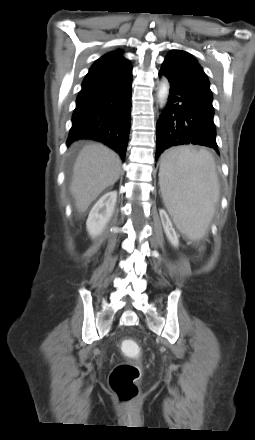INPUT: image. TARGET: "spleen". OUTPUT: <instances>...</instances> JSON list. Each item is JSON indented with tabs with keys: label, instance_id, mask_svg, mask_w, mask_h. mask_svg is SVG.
Here are the masks:
<instances>
[{
	"label": "spleen",
	"instance_id": "obj_1",
	"mask_svg": "<svg viewBox=\"0 0 255 440\" xmlns=\"http://www.w3.org/2000/svg\"><path fill=\"white\" fill-rule=\"evenodd\" d=\"M159 176L163 200L177 228L190 239L202 238L219 196L211 153L189 147L171 149L162 157Z\"/></svg>",
	"mask_w": 255,
	"mask_h": 440
}]
</instances>
